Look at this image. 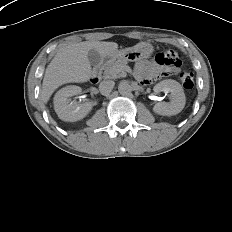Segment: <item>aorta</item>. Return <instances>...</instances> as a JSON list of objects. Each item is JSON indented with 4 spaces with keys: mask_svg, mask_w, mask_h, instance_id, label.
<instances>
[{
    "mask_svg": "<svg viewBox=\"0 0 232 232\" xmlns=\"http://www.w3.org/2000/svg\"><path fill=\"white\" fill-rule=\"evenodd\" d=\"M118 91L121 95H126L131 92V86L127 82L122 81L118 86Z\"/></svg>",
    "mask_w": 232,
    "mask_h": 232,
    "instance_id": "obj_1",
    "label": "aorta"
}]
</instances>
